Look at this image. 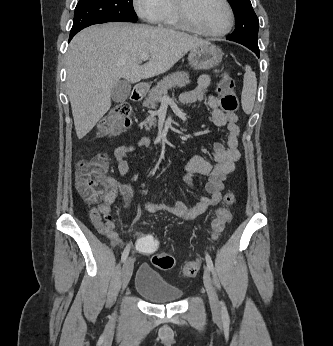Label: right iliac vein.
<instances>
[{
    "mask_svg": "<svg viewBox=\"0 0 333 346\" xmlns=\"http://www.w3.org/2000/svg\"><path fill=\"white\" fill-rule=\"evenodd\" d=\"M134 266V260L132 257H129L125 260L122 268V288L125 289L130 281L132 276ZM116 316V313L113 314V317Z\"/></svg>",
    "mask_w": 333,
    "mask_h": 346,
    "instance_id": "obj_1",
    "label": "right iliac vein"
}]
</instances>
